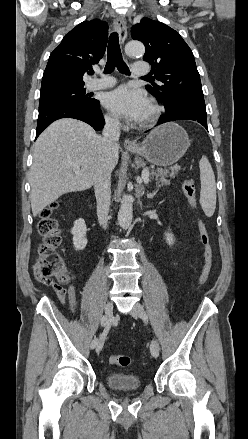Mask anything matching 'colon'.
<instances>
[{
  "mask_svg": "<svg viewBox=\"0 0 248 439\" xmlns=\"http://www.w3.org/2000/svg\"><path fill=\"white\" fill-rule=\"evenodd\" d=\"M184 194L186 195L190 205L197 207L196 187L192 179H186L182 185ZM57 204L52 203L44 208L40 214L38 223V231L42 236V242L38 247L37 265L41 276L48 284L61 286L68 281V275L61 255L57 252L62 238L60 235L57 220L53 217V211ZM200 240L204 249V265L199 278L198 288L202 287L210 274L213 260V251L210 243L209 235L203 221H199ZM111 364L127 367L131 364V358L127 355H111L109 357Z\"/></svg>",
  "mask_w": 248,
  "mask_h": 439,
  "instance_id": "5ec220e1",
  "label": "colon"
}]
</instances>
